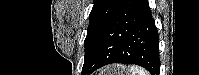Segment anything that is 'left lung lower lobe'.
I'll list each match as a JSON object with an SVG mask.
<instances>
[{
  "mask_svg": "<svg viewBox=\"0 0 199 75\" xmlns=\"http://www.w3.org/2000/svg\"><path fill=\"white\" fill-rule=\"evenodd\" d=\"M159 38L147 0H122L108 20L82 75L111 63L136 64L160 73Z\"/></svg>",
  "mask_w": 199,
  "mask_h": 75,
  "instance_id": "0a47b994",
  "label": "left lung lower lobe"
}]
</instances>
